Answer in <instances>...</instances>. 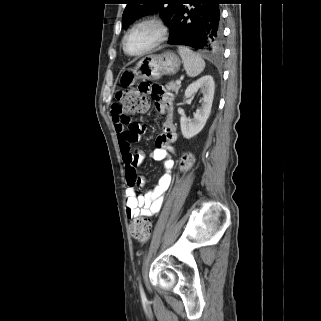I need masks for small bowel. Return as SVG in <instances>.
Returning <instances> with one entry per match:
<instances>
[{
	"mask_svg": "<svg viewBox=\"0 0 321 321\" xmlns=\"http://www.w3.org/2000/svg\"><path fill=\"white\" fill-rule=\"evenodd\" d=\"M136 88L141 93L146 91L147 96H153L156 110L165 115L163 131L157 137L156 147L151 153L154 160L162 162L163 172L157 183L143 195H138L134 188H127L126 215L128 219L141 216L151 217L159 212L164 194L172 180L174 160L170 153L174 151L173 144L177 139L172 95L163 90L161 82L137 83ZM112 121L128 179L130 172L137 170L145 159L144 153L133 149L132 144L145 133L146 126L143 123L134 122L130 116L124 115L119 111L117 105L112 107Z\"/></svg>",
	"mask_w": 321,
	"mask_h": 321,
	"instance_id": "obj_1",
	"label": "small bowel"
}]
</instances>
